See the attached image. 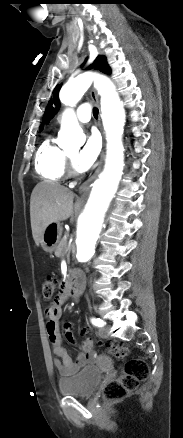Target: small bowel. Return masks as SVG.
<instances>
[{"label":"small bowel","mask_w":183,"mask_h":438,"mask_svg":"<svg viewBox=\"0 0 183 438\" xmlns=\"http://www.w3.org/2000/svg\"><path fill=\"white\" fill-rule=\"evenodd\" d=\"M78 277L84 281L81 273L75 272L71 278ZM69 282L63 287L60 295L46 309V332L52 346V352L57 357L54 360V366L62 376H71L78 372L88 363L95 359L93 343L90 339H85L78 343L73 334V324L68 322L64 325L65 338L72 344L80 348L76 360H73L62 345V339L59 331V321L62 314V304L71 296Z\"/></svg>","instance_id":"obj_1"}]
</instances>
